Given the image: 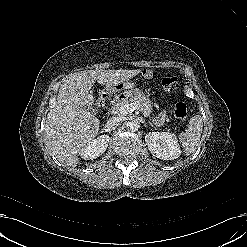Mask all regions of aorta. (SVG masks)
Masks as SVG:
<instances>
[{
	"mask_svg": "<svg viewBox=\"0 0 247 247\" xmlns=\"http://www.w3.org/2000/svg\"><path fill=\"white\" fill-rule=\"evenodd\" d=\"M126 127L130 131L135 132L139 129L140 125H139V122L137 120H131V121L127 122Z\"/></svg>",
	"mask_w": 247,
	"mask_h": 247,
	"instance_id": "obj_1",
	"label": "aorta"
}]
</instances>
